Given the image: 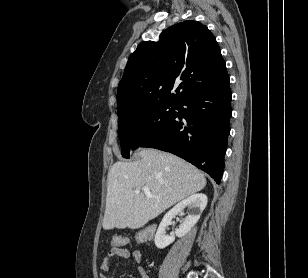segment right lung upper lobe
Wrapping results in <instances>:
<instances>
[{"label": "right lung upper lobe", "instance_id": "right-lung-upper-lobe-1", "mask_svg": "<svg viewBox=\"0 0 308 278\" xmlns=\"http://www.w3.org/2000/svg\"><path fill=\"white\" fill-rule=\"evenodd\" d=\"M228 77L220 48L206 26L193 20L171 26L159 41L141 42L129 56L118 85L119 121L147 106L178 104ZM174 86L176 94H171Z\"/></svg>", "mask_w": 308, "mask_h": 278}]
</instances>
